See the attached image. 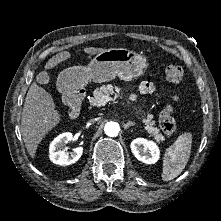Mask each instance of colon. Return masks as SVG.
<instances>
[{"label":"colon","instance_id":"1","mask_svg":"<svg viewBox=\"0 0 221 221\" xmlns=\"http://www.w3.org/2000/svg\"><path fill=\"white\" fill-rule=\"evenodd\" d=\"M164 74L166 79L173 84H180L183 80V69L179 65L171 64L165 67ZM178 96L174 95L171 102H167L160 112V126L162 131L169 137H174L177 134V125L173 118L175 103Z\"/></svg>","mask_w":221,"mask_h":221}]
</instances>
